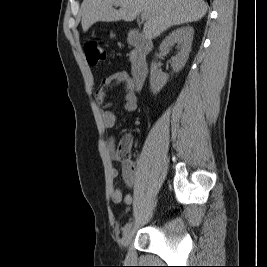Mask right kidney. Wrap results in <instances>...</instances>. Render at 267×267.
I'll use <instances>...</instances> for the list:
<instances>
[{
    "mask_svg": "<svg viewBox=\"0 0 267 267\" xmlns=\"http://www.w3.org/2000/svg\"><path fill=\"white\" fill-rule=\"evenodd\" d=\"M194 30L192 27H180L172 31L165 39L162 41L159 47V54L166 55L169 53L170 48L177 44L178 53L176 56L172 57V69L173 72H179L186 64L189 53L191 50L192 40H193ZM169 75L159 71L157 63L154 61L151 64L150 72V86L153 94H157L167 83Z\"/></svg>",
    "mask_w": 267,
    "mask_h": 267,
    "instance_id": "ca27d5eb",
    "label": "right kidney"
}]
</instances>
